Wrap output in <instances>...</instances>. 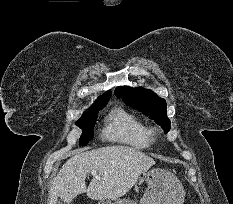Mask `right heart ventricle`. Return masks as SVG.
Listing matches in <instances>:
<instances>
[{"mask_svg":"<svg viewBox=\"0 0 233 204\" xmlns=\"http://www.w3.org/2000/svg\"><path fill=\"white\" fill-rule=\"evenodd\" d=\"M102 134L108 141L138 150L150 148L154 141L150 128L122 108H115L108 114Z\"/></svg>","mask_w":233,"mask_h":204,"instance_id":"1","label":"right heart ventricle"}]
</instances>
